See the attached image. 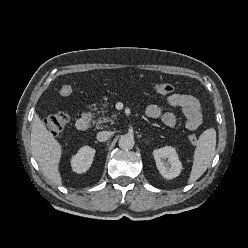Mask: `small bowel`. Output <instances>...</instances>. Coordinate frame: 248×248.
I'll return each instance as SVG.
<instances>
[{
    "label": "small bowel",
    "mask_w": 248,
    "mask_h": 248,
    "mask_svg": "<svg viewBox=\"0 0 248 248\" xmlns=\"http://www.w3.org/2000/svg\"><path fill=\"white\" fill-rule=\"evenodd\" d=\"M167 103L173 107L181 108L185 117V126L189 130L197 129L202 123V109L200 101L189 94L174 93L167 97ZM148 118L160 119L166 126L174 127L177 124V116L164 111L157 105H149L145 110Z\"/></svg>",
    "instance_id": "1"
}]
</instances>
